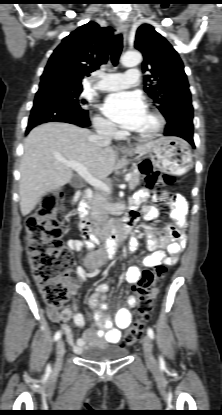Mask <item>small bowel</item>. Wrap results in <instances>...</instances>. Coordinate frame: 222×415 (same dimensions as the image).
Masks as SVG:
<instances>
[{
    "label": "small bowel",
    "instance_id": "small-bowel-1",
    "mask_svg": "<svg viewBox=\"0 0 222 415\" xmlns=\"http://www.w3.org/2000/svg\"><path fill=\"white\" fill-rule=\"evenodd\" d=\"M158 192H162L158 190ZM157 193L156 189H141L138 191L137 200L144 201ZM166 199L172 204L173 210L171 217L175 220L180 228L187 226L186 214L187 203L184 198L176 193H166ZM144 218L151 220L159 215V210L153 206H146L143 210ZM133 220L138 218V213L131 210L128 214ZM146 248L149 254L144 258L143 264L147 267H156L161 264L174 265L178 262L180 253L186 246L187 238L183 232L170 229L167 234L160 235L153 229L146 231ZM67 246L70 250L78 252L84 248V244L77 239H70L67 241ZM133 251L137 250V242H133ZM78 280L75 281L76 286H79L81 280L88 275L87 270L78 266L76 269ZM141 276V270L137 266L130 267L125 275L128 283L135 286ZM109 286L106 283H101L97 286L96 291L89 297L88 303L91 309L90 319L94 326L85 330L82 336L75 340L72 333V328H82L85 325V317L83 314L76 311L77 300H71V307L64 310H58L51 307L47 308L49 318L61 325L66 334L68 343L72 346L75 353H81L83 350L91 347H101L109 344H118L121 340V333L129 327L131 323V311L137 304V297L130 295L125 300V305L120 308L115 317V325L112 321L103 315V310L107 308L105 302L106 293ZM97 327V328H96Z\"/></svg>",
    "mask_w": 222,
    "mask_h": 415
}]
</instances>
